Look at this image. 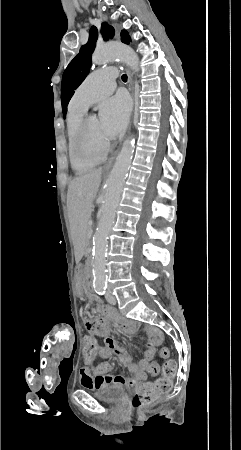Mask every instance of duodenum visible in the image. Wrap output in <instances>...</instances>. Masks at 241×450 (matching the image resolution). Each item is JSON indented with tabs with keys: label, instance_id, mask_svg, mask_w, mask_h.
<instances>
[{
	"label": "duodenum",
	"instance_id": "obj_1",
	"mask_svg": "<svg viewBox=\"0 0 241 450\" xmlns=\"http://www.w3.org/2000/svg\"><path fill=\"white\" fill-rule=\"evenodd\" d=\"M92 269H93L92 260L88 259L87 262H86V271H87L86 288L89 291L93 290V273H92Z\"/></svg>",
	"mask_w": 241,
	"mask_h": 450
}]
</instances>
